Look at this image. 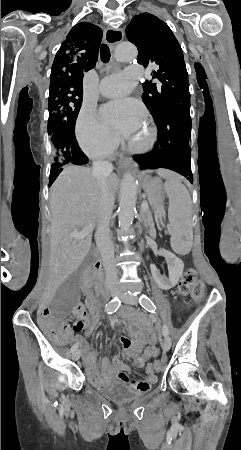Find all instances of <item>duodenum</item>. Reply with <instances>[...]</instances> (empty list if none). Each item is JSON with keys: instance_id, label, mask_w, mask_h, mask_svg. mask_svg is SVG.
<instances>
[{"instance_id": "duodenum-1", "label": "duodenum", "mask_w": 241, "mask_h": 450, "mask_svg": "<svg viewBox=\"0 0 241 450\" xmlns=\"http://www.w3.org/2000/svg\"><path fill=\"white\" fill-rule=\"evenodd\" d=\"M95 272H86L85 278L88 283V288L90 289L94 299L97 302H102L106 298V291L98 278L97 272L101 268V261L97 260L94 264Z\"/></svg>"}]
</instances>
